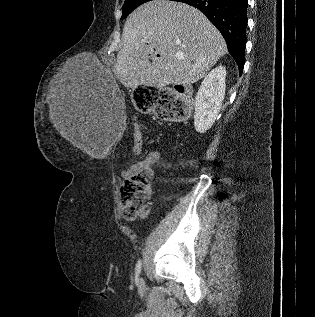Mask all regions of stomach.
I'll list each match as a JSON object with an SVG mask.
<instances>
[{"label":"stomach","instance_id":"1","mask_svg":"<svg viewBox=\"0 0 315 317\" xmlns=\"http://www.w3.org/2000/svg\"><path fill=\"white\" fill-rule=\"evenodd\" d=\"M133 95H160V88H153V84H137V88L132 89ZM134 103L137 104L138 111H155L156 97H135Z\"/></svg>","mask_w":315,"mask_h":317}]
</instances>
